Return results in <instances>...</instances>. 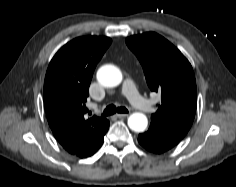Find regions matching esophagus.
Here are the masks:
<instances>
[{"mask_svg": "<svg viewBox=\"0 0 236 187\" xmlns=\"http://www.w3.org/2000/svg\"><path fill=\"white\" fill-rule=\"evenodd\" d=\"M115 116H116L117 118H125V117L128 116V114H126V113H120V114H116Z\"/></svg>", "mask_w": 236, "mask_h": 187, "instance_id": "esophagus-1", "label": "esophagus"}]
</instances>
